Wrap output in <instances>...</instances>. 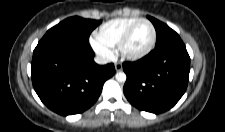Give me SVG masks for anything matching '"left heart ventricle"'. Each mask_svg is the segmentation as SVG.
<instances>
[{"label": "left heart ventricle", "instance_id": "1", "mask_svg": "<svg viewBox=\"0 0 225 132\" xmlns=\"http://www.w3.org/2000/svg\"><path fill=\"white\" fill-rule=\"evenodd\" d=\"M152 37V29L147 23H140L134 29L127 42L126 50L130 53H137L146 48Z\"/></svg>", "mask_w": 225, "mask_h": 132}]
</instances>
